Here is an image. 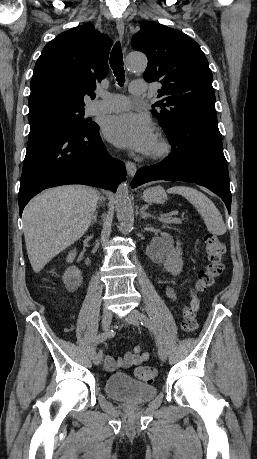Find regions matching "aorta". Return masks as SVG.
<instances>
[{
	"mask_svg": "<svg viewBox=\"0 0 257 459\" xmlns=\"http://www.w3.org/2000/svg\"><path fill=\"white\" fill-rule=\"evenodd\" d=\"M147 66V58L138 53H131L127 57V69L130 72L143 70ZM115 208L122 234H128L134 225V212L129 197L127 182H122L115 196Z\"/></svg>",
	"mask_w": 257,
	"mask_h": 459,
	"instance_id": "aorta-1",
	"label": "aorta"
}]
</instances>
